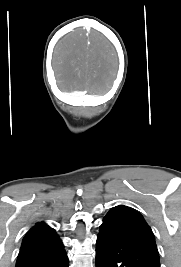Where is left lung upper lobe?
<instances>
[{"mask_svg": "<svg viewBox=\"0 0 181 267\" xmlns=\"http://www.w3.org/2000/svg\"><path fill=\"white\" fill-rule=\"evenodd\" d=\"M101 227L121 232L158 252L150 226L142 215L133 208L124 205L112 208L104 217Z\"/></svg>", "mask_w": 181, "mask_h": 267, "instance_id": "1", "label": "left lung upper lobe"}]
</instances>
